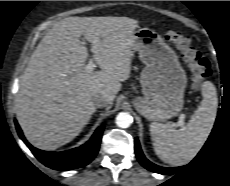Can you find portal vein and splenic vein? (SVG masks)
<instances>
[{"label":"portal vein and splenic vein","instance_id":"1","mask_svg":"<svg viewBox=\"0 0 230 186\" xmlns=\"http://www.w3.org/2000/svg\"><path fill=\"white\" fill-rule=\"evenodd\" d=\"M95 67L93 60L91 59L88 64L85 66V71L87 73H91ZM184 123L183 117L180 119L179 124L182 125Z\"/></svg>","mask_w":230,"mask_h":186}]
</instances>
